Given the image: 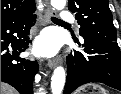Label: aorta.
<instances>
[{"mask_svg": "<svg viewBox=\"0 0 121 94\" xmlns=\"http://www.w3.org/2000/svg\"><path fill=\"white\" fill-rule=\"evenodd\" d=\"M51 5L57 10H62L66 6V0H51ZM66 75L62 66L57 67L51 78L52 94H61L65 85Z\"/></svg>", "mask_w": 121, "mask_h": 94, "instance_id": "1", "label": "aorta"}]
</instances>
